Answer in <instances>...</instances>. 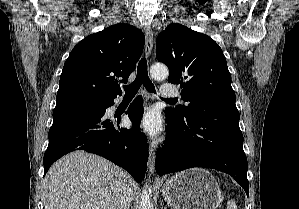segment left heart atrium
I'll return each mask as SVG.
<instances>
[{
  "label": "left heart atrium",
  "instance_id": "39dd6f15",
  "mask_svg": "<svg viewBox=\"0 0 299 209\" xmlns=\"http://www.w3.org/2000/svg\"><path fill=\"white\" fill-rule=\"evenodd\" d=\"M139 126L151 136H156L162 129V122L158 112L148 110L139 120Z\"/></svg>",
  "mask_w": 299,
  "mask_h": 209
}]
</instances>
